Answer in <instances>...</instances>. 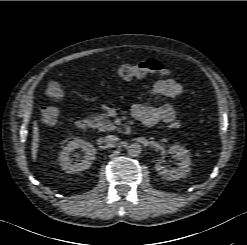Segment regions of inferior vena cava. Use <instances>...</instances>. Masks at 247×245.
<instances>
[{
    "instance_id": "obj_1",
    "label": "inferior vena cava",
    "mask_w": 247,
    "mask_h": 245,
    "mask_svg": "<svg viewBox=\"0 0 247 245\" xmlns=\"http://www.w3.org/2000/svg\"><path fill=\"white\" fill-rule=\"evenodd\" d=\"M105 141L110 144H114L119 141V138L114 135H108L105 137Z\"/></svg>"
}]
</instances>
